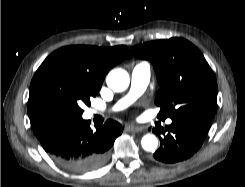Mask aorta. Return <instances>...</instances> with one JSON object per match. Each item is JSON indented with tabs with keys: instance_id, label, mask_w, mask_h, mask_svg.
<instances>
[{
	"instance_id": "1",
	"label": "aorta",
	"mask_w": 245,
	"mask_h": 187,
	"mask_svg": "<svg viewBox=\"0 0 245 187\" xmlns=\"http://www.w3.org/2000/svg\"><path fill=\"white\" fill-rule=\"evenodd\" d=\"M106 82L113 91L122 92L129 86V74L123 69H114L107 75ZM141 145L144 150L154 152L158 146V140L154 135L147 134L143 136Z\"/></svg>"
}]
</instances>
